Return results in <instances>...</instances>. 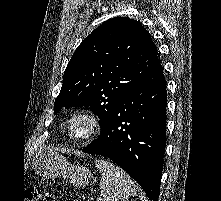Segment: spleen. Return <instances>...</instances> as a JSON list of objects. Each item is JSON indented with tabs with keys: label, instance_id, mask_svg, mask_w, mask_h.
<instances>
[{
	"label": "spleen",
	"instance_id": "obj_1",
	"mask_svg": "<svg viewBox=\"0 0 221 201\" xmlns=\"http://www.w3.org/2000/svg\"><path fill=\"white\" fill-rule=\"evenodd\" d=\"M95 166L101 173L98 201H125L129 196H136L135 184L122 168L100 159L95 160Z\"/></svg>",
	"mask_w": 221,
	"mask_h": 201
}]
</instances>
